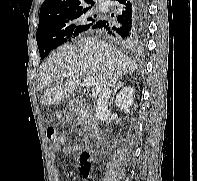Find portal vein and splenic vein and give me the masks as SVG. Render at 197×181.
<instances>
[{"instance_id": "portal-vein-and-splenic-vein-1", "label": "portal vein and splenic vein", "mask_w": 197, "mask_h": 181, "mask_svg": "<svg viewBox=\"0 0 197 181\" xmlns=\"http://www.w3.org/2000/svg\"><path fill=\"white\" fill-rule=\"evenodd\" d=\"M94 82H95V79H94L93 76H86V77L84 78V85H85L87 88L91 87V86L94 84Z\"/></svg>"}]
</instances>
